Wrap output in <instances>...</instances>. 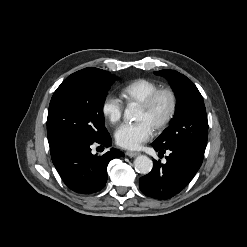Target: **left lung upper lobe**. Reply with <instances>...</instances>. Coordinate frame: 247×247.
Returning a JSON list of instances; mask_svg holds the SVG:
<instances>
[{"instance_id": "obj_1", "label": "left lung upper lobe", "mask_w": 247, "mask_h": 247, "mask_svg": "<svg viewBox=\"0 0 247 247\" xmlns=\"http://www.w3.org/2000/svg\"><path fill=\"white\" fill-rule=\"evenodd\" d=\"M156 75L166 77L177 97L175 115L170 126L154 141L163 148L187 144L205 151L208 121L203 97L186 76L174 70H160Z\"/></svg>"}]
</instances>
